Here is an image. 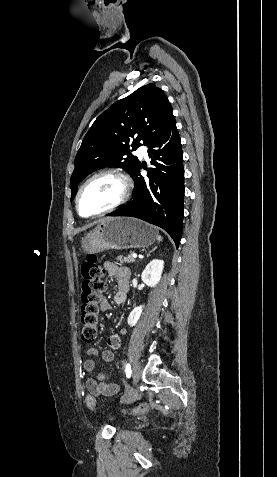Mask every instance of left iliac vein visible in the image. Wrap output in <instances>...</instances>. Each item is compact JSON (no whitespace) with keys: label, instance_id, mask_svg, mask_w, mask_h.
<instances>
[{"label":"left iliac vein","instance_id":"4c4485c4","mask_svg":"<svg viewBox=\"0 0 277 477\" xmlns=\"http://www.w3.org/2000/svg\"><path fill=\"white\" fill-rule=\"evenodd\" d=\"M141 376V364L140 362H135L134 367H133V384L136 385L140 379ZM133 391H131L127 396L126 399L129 398V396L132 394Z\"/></svg>","mask_w":277,"mask_h":477}]
</instances>
